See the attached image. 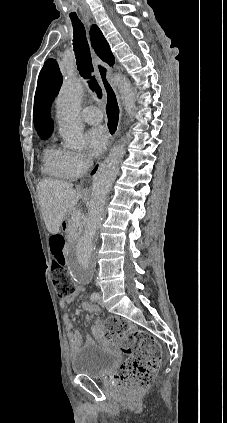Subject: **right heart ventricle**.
<instances>
[{
    "mask_svg": "<svg viewBox=\"0 0 227 423\" xmlns=\"http://www.w3.org/2000/svg\"><path fill=\"white\" fill-rule=\"evenodd\" d=\"M63 153L64 150L47 147L43 153L42 172L52 177L65 178L62 167Z\"/></svg>",
    "mask_w": 227,
    "mask_h": 423,
    "instance_id": "right-heart-ventricle-1",
    "label": "right heart ventricle"
}]
</instances>
